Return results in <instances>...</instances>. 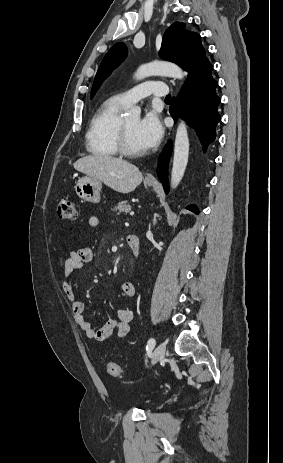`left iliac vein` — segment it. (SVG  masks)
<instances>
[{
  "label": "left iliac vein",
  "mask_w": 283,
  "mask_h": 463,
  "mask_svg": "<svg viewBox=\"0 0 283 463\" xmlns=\"http://www.w3.org/2000/svg\"><path fill=\"white\" fill-rule=\"evenodd\" d=\"M165 350H166V344L165 343H160L157 345V347L154 349L153 356H152V364L157 363L159 360L163 359L165 356Z\"/></svg>",
  "instance_id": "4c4485c4"
}]
</instances>
